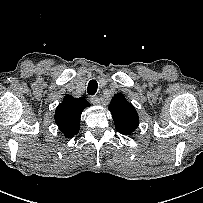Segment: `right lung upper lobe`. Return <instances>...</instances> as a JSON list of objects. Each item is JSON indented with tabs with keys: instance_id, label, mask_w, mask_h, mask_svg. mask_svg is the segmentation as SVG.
Instances as JSON below:
<instances>
[{
	"instance_id": "obj_1",
	"label": "right lung upper lobe",
	"mask_w": 203,
	"mask_h": 203,
	"mask_svg": "<svg viewBox=\"0 0 203 203\" xmlns=\"http://www.w3.org/2000/svg\"><path fill=\"white\" fill-rule=\"evenodd\" d=\"M89 106V102L83 97L64 96L62 103L56 108L55 122L65 137H73L79 132L81 113Z\"/></svg>"
}]
</instances>
